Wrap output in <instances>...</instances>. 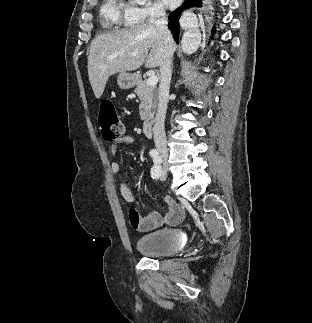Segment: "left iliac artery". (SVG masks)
<instances>
[{
    "label": "left iliac artery",
    "instance_id": "left-iliac-artery-1",
    "mask_svg": "<svg viewBox=\"0 0 312 323\" xmlns=\"http://www.w3.org/2000/svg\"><path fill=\"white\" fill-rule=\"evenodd\" d=\"M160 172H161V170H160L158 167L154 166V167L152 168V170H151L152 178H153V179H157V178H159V176H160Z\"/></svg>",
    "mask_w": 312,
    "mask_h": 323
}]
</instances>
